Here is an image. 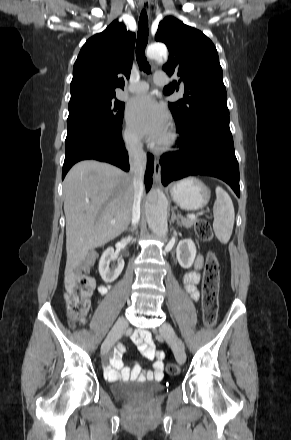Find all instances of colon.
Returning <instances> with one entry per match:
<instances>
[{
  "mask_svg": "<svg viewBox=\"0 0 291 440\" xmlns=\"http://www.w3.org/2000/svg\"><path fill=\"white\" fill-rule=\"evenodd\" d=\"M194 232L203 241H210L213 238L211 227L205 219H198L196 221ZM219 270L220 267L216 254L213 251H209L202 282L203 323L206 327L213 326L217 318ZM94 288V280L88 275L76 273L69 278L65 287V298L67 301V313L72 326L87 314ZM167 371L175 373L177 371L176 365L168 363Z\"/></svg>",
  "mask_w": 291,
  "mask_h": 440,
  "instance_id": "colon-1",
  "label": "colon"
}]
</instances>
